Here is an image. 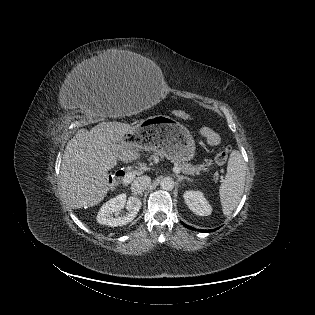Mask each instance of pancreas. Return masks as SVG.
Wrapping results in <instances>:
<instances>
[{
	"label": "pancreas",
	"mask_w": 315,
	"mask_h": 315,
	"mask_svg": "<svg viewBox=\"0 0 315 315\" xmlns=\"http://www.w3.org/2000/svg\"><path fill=\"white\" fill-rule=\"evenodd\" d=\"M155 157V156H153ZM175 166L179 167L180 170L187 175H195V174H200V172H206L210 170V166L213 164V161L211 160H206L205 163L201 165H192L191 163H180L177 161H174ZM215 179L218 177V173L216 172L214 174Z\"/></svg>",
	"instance_id": "pancreas-1"
}]
</instances>
